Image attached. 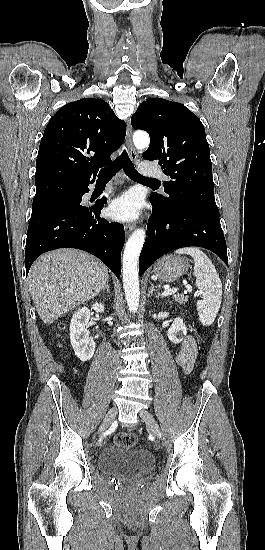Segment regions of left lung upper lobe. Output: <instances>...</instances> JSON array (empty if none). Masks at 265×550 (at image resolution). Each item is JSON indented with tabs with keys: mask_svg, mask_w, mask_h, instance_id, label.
<instances>
[{
	"mask_svg": "<svg viewBox=\"0 0 265 550\" xmlns=\"http://www.w3.org/2000/svg\"><path fill=\"white\" fill-rule=\"evenodd\" d=\"M131 124L150 135L143 158L159 160L163 172L172 179L164 182L169 196L153 193L150 202L161 209L187 204L219 214L210 149L199 118L180 103L149 98L139 105Z\"/></svg>",
	"mask_w": 265,
	"mask_h": 550,
	"instance_id": "5c2ea615",
	"label": "left lung upper lobe"
}]
</instances>
